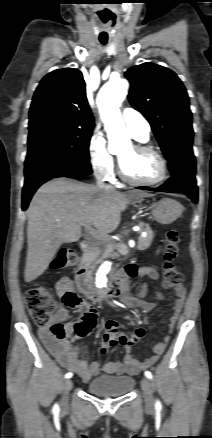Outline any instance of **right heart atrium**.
Masks as SVG:
<instances>
[{
    "label": "right heart atrium",
    "mask_w": 212,
    "mask_h": 438,
    "mask_svg": "<svg viewBox=\"0 0 212 438\" xmlns=\"http://www.w3.org/2000/svg\"><path fill=\"white\" fill-rule=\"evenodd\" d=\"M88 157L94 174L102 179H111L114 175L115 160L108 151L106 141L100 134L91 136L88 144Z\"/></svg>",
    "instance_id": "d8ad5b80"
}]
</instances>
